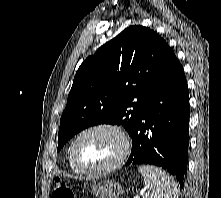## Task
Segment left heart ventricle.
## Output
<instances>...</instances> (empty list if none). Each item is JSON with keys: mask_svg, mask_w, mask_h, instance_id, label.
<instances>
[{"mask_svg": "<svg viewBox=\"0 0 221 198\" xmlns=\"http://www.w3.org/2000/svg\"><path fill=\"white\" fill-rule=\"evenodd\" d=\"M120 150L121 141L113 132L97 130L84 135L78 141L76 156L83 167L98 169L112 163Z\"/></svg>", "mask_w": 221, "mask_h": 198, "instance_id": "left-heart-ventricle-1", "label": "left heart ventricle"}]
</instances>
